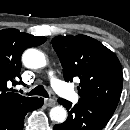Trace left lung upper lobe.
Returning <instances> with one entry per match:
<instances>
[{
	"instance_id": "left-lung-upper-lobe-1",
	"label": "left lung upper lobe",
	"mask_w": 130,
	"mask_h": 130,
	"mask_svg": "<svg viewBox=\"0 0 130 130\" xmlns=\"http://www.w3.org/2000/svg\"><path fill=\"white\" fill-rule=\"evenodd\" d=\"M51 43L62 64L65 81L80 79L79 100L96 103L114 113L123 86L117 56L86 35L57 36Z\"/></svg>"
}]
</instances>
